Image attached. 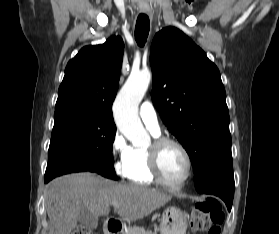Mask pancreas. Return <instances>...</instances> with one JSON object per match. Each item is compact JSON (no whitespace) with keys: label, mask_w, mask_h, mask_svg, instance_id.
I'll return each instance as SVG.
<instances>
[{"label":"pancreas","mask_w":279,"mask_h":234,"mask_svg":"<svg viewBox=\"0 0 279 234\" xmlns=\"http://www.w3.org/2000/svg\"><path fill=\"white\" fill-rule=\"evenodd\" d=\"M124 234H155L150 231H146L143 227H129Z\"/></svg>","instance_id":"obj_1"}]
</instances>
